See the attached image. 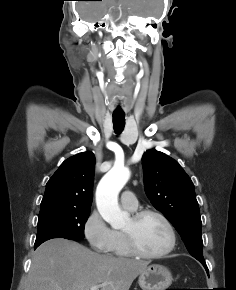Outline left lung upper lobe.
Listing matches in <instances>:
<instances>
[{"mask_svg": "<svg viewBox=\"0 0 236 290\" xmlns=\"http://www.w3.org/2000/svg\"><path fill=\"white\" fill-rule=\"evenodd\" d=\"M145 192L152 205L172 223L189 253L204 261L202 222L194 185L177 161L148 150L142 157Z\"/></svg>", "mask_w": 236, "mask_h": 290, "instance_id": "obj_1", "label": "left lung upper lobe"}]
</instances>
